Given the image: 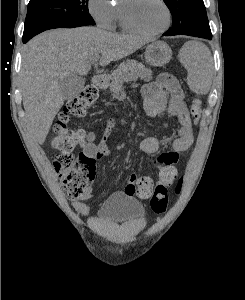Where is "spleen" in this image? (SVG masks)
I'll return each instance as SVG.
<instances>
[{
	"label": "spleen",
	"instance_id": "3e777b00",
	"mask_svg": "<svg viewBox=\"0 0 245 300\" xmlns=\"http://www.w3.org/2000/svg\"><path fill=\"white\" fill-rule=\"evenodd\" d=\"M183 62L188 73L189 88L195 93L207 94L212 82L209 49L199 42H190L183 49Z\"/></svg>",
	"mask_w": 245,
	"mask_h": 300
}]
</instances>
